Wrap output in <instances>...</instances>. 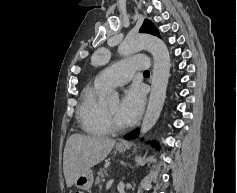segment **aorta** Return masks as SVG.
Here are the masks:
<instances>
[{
	"label": "aorta",
	"instance_id": "obj_1",
	"mask_svg": "<svg viewBox=\"0 0 237 193\" xmlns=\"http://www.w3.org/2000/svg\"><path fill=\"white\" fill-rule=\"evenodd\" d=\"M142 49H147L154 60L149 103L140 129L141 136H144L155 125L161 114L171 64L167 46L156 36L150 34L129 35L119 46L120 54L123 56L136 53ZM113 97L117 98V94H113Z\"/></svg>",
	"mask_w": 237,
	"mask_h": 193
}]
</instances>
